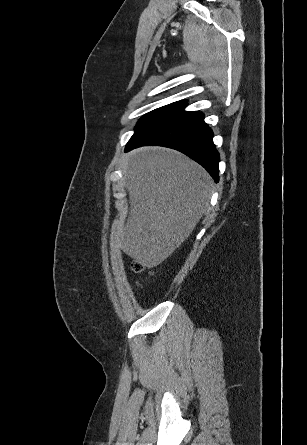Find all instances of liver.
<instances>
[{
	"instance_id": "liver-1",
	"label": "liver",
	"mask_w": 307,
	"mask_h": 445,
	"mask_svg": "<svg viewBox=\"0 0 307 445\" xmlns=\"http://www.w3.org/2000/svg\"><path fill=\"white\" fill-rule=\"evenodd\" d=\"M130 210L117 220L115 243L140 265L152 269L187 241L209 206L213 180L177 150L142 148L125 166Z\"/></svg>"
}]
</instances>
